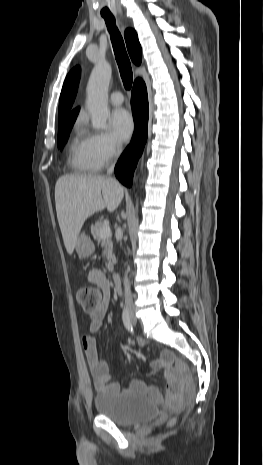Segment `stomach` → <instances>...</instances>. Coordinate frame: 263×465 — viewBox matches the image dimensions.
<instances>
[{"mask_svg": "<svg viewBox=\"0 0 263 465\" xmlns=\"http://www.w3.org/2000/svg\"><path fill=\"white\" fill-rule=\"evenodd\" d=\"M75 249L80 257L88 258L94 253L95 246L91 238L85 232H82L77 238Z\"/></svg>", "mask_w": 263, "mask_h": 465, "instance_id": "obj_1", "label": "stomach"}]
</instances>
